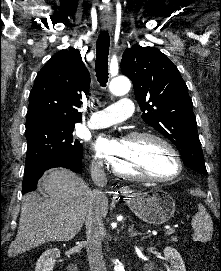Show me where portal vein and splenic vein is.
<instances>
[{
  "label": "portal vein and splenic vein",
  "mask_w": 221,
  "mask_h": 271,
  "mask_svg": "<svg viewBox=\"0 0 221 271\" xmlns=\"http://www.w3.org/2000/svg\"><path fill=\"white\" fill-rule=\"evenodd\" d=\"M174 231H175V227H170V229H167L165 233H168V235H170V233H174Z\"/></svg>",
  "instance_id": "1"
}]
</instances>
